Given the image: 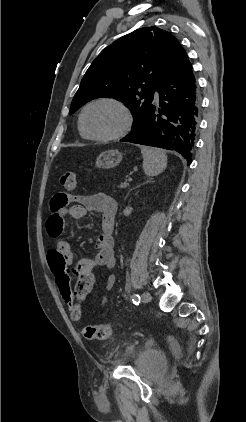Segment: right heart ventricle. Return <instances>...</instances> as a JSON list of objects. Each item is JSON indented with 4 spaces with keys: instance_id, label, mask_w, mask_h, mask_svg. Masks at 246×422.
Masks as SVG:
<instances>
[{
    "instance_id": "right-heart-ventricle-1",
    "label": "right heart ventricle",
    "mask_w": 246,
    "mask_h": 422,
    "mask_svg": "<svg viewBox=\"0 0 246 422\" xmlns=\"http://www.w3.org/2000/svg\"><path fill=\"white\" fill-rule=\"evenodd\" d=\"M79 133H80L81 137L86 138L85 135L82 133L80 127H79Z\"/></svg>"
}]
</instances>
